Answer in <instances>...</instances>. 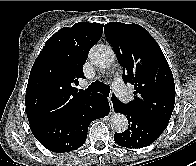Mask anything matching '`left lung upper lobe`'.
<instances>
[{
  "mask_svg": "<svg viewBox=\"0 0 196 166\" xmlns=\"http://www.w3.org/2000/svg\"><path fill=\"white\" fill-rule=\"evenodd\" d=\"M106 37L123 67V80L135 88V99L123 104L145 119L168 125L175 103V84L155 39L138 24L107 23Z\"/></svg>",
  "mask_w": 196,
  "mask_h": 166,
  "instance_id": "1",
  "label": "left lung upper lobe"
}]
</instances>
